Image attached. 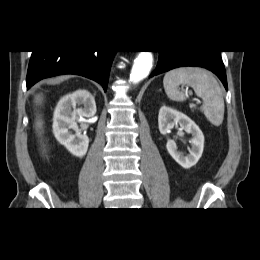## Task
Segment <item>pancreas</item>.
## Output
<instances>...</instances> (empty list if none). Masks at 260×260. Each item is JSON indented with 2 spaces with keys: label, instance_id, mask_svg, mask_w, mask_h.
I'll return each mask as SVG.
<instances>
[{
  "label": "pancreas",
  "instance_id": "obj_1",
  "mask_svg": "<svg viewBox=\"0 0 260 260\" xmlns=\"http://www.w3.org/2000/svg\"><path fill=\"white\" fill-rule=\"evenodd\" d=\"M190 107H191V108H194L195 106H194V105H191Z\"/></svg>",
  "mask_w": 260,
  "mask_h": 260
}]
</instances>
